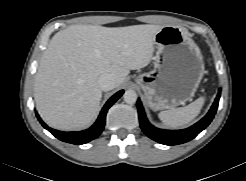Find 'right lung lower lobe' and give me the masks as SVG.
<instances>
[{
	"mask_svg": "<svg viewBox=\"0 0 246 181\" xmlns=\"http://www.w3.org/2000/svg\"><path fill=\"white\" fill-rule=\"evenodd\" d=\"M124 93L123 90L117 92L114 94L104 105L97 121L95 124L90 127L87 130L79 131V132H62L58 130H54L52 128H49L39 117L38 113H36V116L39 120V122L43 125L44 128H46L50 133H52L56 138H58L61 141L72 143L76 145L85 144L95 138H97L105 125V118L106 113L108 109L120 98V96Z\"/></svg>",
	"mask_w": 246,
	"mask_h": 181,
	"instance_id": "obj_1",
	"label": "right lung lower lobe"
}]
</instances>
